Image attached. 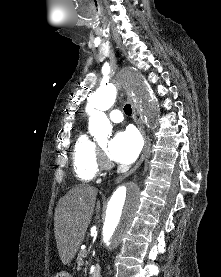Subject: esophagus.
Instances as JSON below:
<instances>
[{"mask_svg":"<svg viewBox=\"0 0 221 277\" xmlns=\"http://www.w3.org/2000/svg\"><path fill=\"white\" fill-rule=\"evenodd\" d=\"M128 99H129V101L131 103V106H132L133 118H134V120L136 122V125L139 128L143 138H144V147H143L141 156H140L139 160L137 161V163L134 165V167H132L129 171L125 172L124 174L118 176L115 179L114 183L121 182L122 180H124L125 178H127L128 176L133 174L140 167V165L142 164V162L144 161V159L146 157L147 149H148V146H149V140H148V137L146 135L144 125H143L141 119L138 117V112H137V109H136V105H135L134 100H133V98L130 94L128 95Z\"/></svg>","mask_w":221,"mask_h":277,"instance_id":"1","label":"esophagus"}]
</instances>
